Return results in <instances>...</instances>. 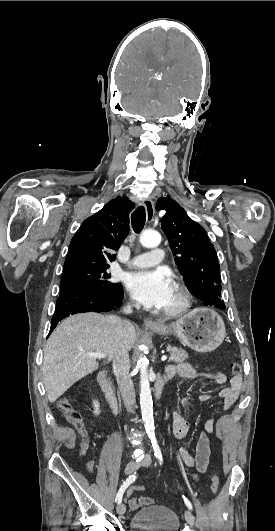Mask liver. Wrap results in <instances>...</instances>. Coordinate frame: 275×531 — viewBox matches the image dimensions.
Returning a JSON list of instances; mask_svg holds the SVG:
<instances>
[{"label":"liver","instance_id":"1","mask_svg":"<svg viewBox=\"0 0 275 531\" xmlns=\"http://www.w3.org/2000/svg\"><path fill=\"white\" fill-rule=\"evenodd\" d=\"M122 323L121 341L130 351L136 341L135 329L129 321ZM114 337L113 325L99 313H79L62 321L45 347L42 373L48 401L55 403L74 383L98 369V361L86 353H104L111 361Z\"/></svg>","mask_w":275,"mask_h":531}]
</instances>
